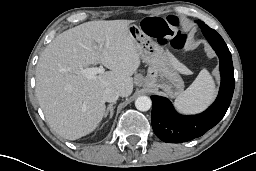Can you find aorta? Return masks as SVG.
Here are the masks:
<instances>
[{
  "label": "aorta",
  "mask_w": 256,
  "mask_h": 171,
  "mask_svg": "<svg viewBox=\"0 0 256 171\" xmlns=\"http://www.w3.org/2000/svg\"><path fill=\"white\" fill-rule=\"evenodd\" d=\"M152 106V101L147 96H140L135 101V107L139 111H148Z\"/></svg>",
  "instance_id": "aorta-1"
}]
</instances>
